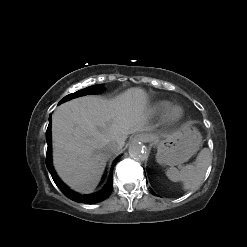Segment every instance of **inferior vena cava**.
Returning a JSON list of instances; mask_svg holds the SVG:
<instances>
[{"mask_svg": "<svg viewBox=\"0 0 247 247\" xmlns=\"http://www.w3.org/2000/svg\"><path fill=\"white\" fill-rule=\"evenodd\" d=\"M121 149V146L116 142H110L106 146V150L111 154H116Z\"/></svg>", "mask_w": 247, "mask_h": 247, "instance_id": "obj_1", "label": "inferior vena cava"}]
</instances>
